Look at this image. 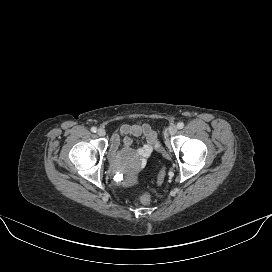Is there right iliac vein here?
<instances>
[{"mask_svg":"<svg viewBox=\"0 0 272 272\" xmlns=\"http://www.w3.org/2000/svg\"><path fill=\"white\" fill-rule=\"evenodd\" d=\"M97 134H98L99 136L103 137V136H105L106 132H105V130H103V129H99V130L97 131Z\"/></svg>","mask_w":272,"mask_h":272,"instance_id":"obj_1","label":"right iliac vein"}]
</instances>
